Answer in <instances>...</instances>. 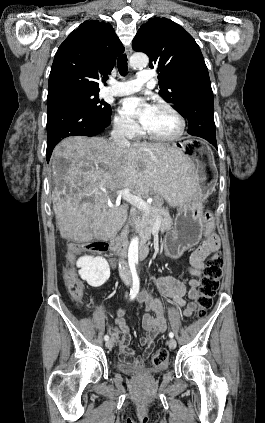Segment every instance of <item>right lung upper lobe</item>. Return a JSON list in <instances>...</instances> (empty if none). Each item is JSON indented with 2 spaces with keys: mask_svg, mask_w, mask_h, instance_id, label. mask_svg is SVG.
I'll return each mask as SVG.
<instances>
[{
  "mask_svg": "<svg viewBox=\"0 0 265 423\" xmlns=\"http://www.w3.org/2000/svg\"><path fill=\"white\" fill-rule=\"evenodd\" d=\"M124 47L108 23L83 22L59 46L49 75L48 97L70 90L99 91Z\"/></svg>",
  "mask_w": 265,
  "mask_h": 423,
  "instance_id": "obj_1",
  "label": "right lung upper lobe"
}]
</instances>
